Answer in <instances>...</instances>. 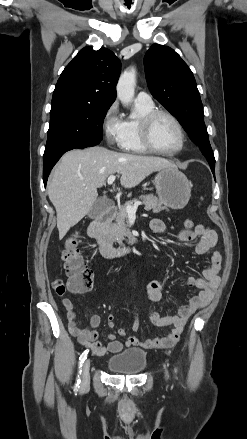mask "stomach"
I'll use <instances>...</instances> for the list:
<instances>
[{
	"instance_id": "1",
	"label": "stomach",
	"mask_w": 247,
	"mask_h": 439,
	"mask_svg": "<svg viewBox=\"0 0 247 439\" xmlns=\"http://www.w3.org/2000/svg\"><path fill=\"white\" fill-rule=\"evenodd\" d=\"M158 199L172 209L184 208L191 196V183L177 167L159 169L154 177Z\"/></svg>"
}]
</instances>
